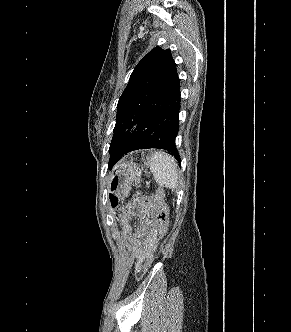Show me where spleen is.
Here are the masks:
<instances>
[{
    "label": "spleen",
    "instance_id": "1",
    "mask_svg": "<svg viewBox=\"0 0 291 332\" xmlns=\"http://www.w3.org/2000/svg\"><path fill=\"white\" fill-rule=\"evenodd\" d=\"M155 181L162 187L174 189L178 186L177 162L164 151L152 154L149 161Z\"/></svg>",
    "mask_w": 291,
    "mask_h": 332
}]
</instances>
